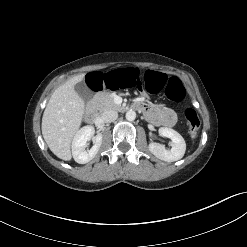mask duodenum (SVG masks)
<instances>
[{
    "label": "duodenum",
    "instance_id": "410a0bca",
    "mask_svg": "<svg viewBox=\"0 0 247 247\" xmlns=\"http://www.w3.org/2000/svg\"><path fill=\"white\" fill-rule=\"evenodd\" d=\"M134 108L141 109V107L138 104H135ZM84 117L87 122L95 121L98 117V111L96 106L93 104H89L85 110Z\"/></svg>",
    "mask_w": 247,
    "mask_h": 247
}]
</instances>
